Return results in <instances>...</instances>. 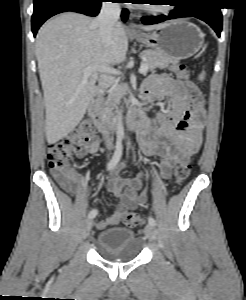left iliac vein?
<instances>
[{
	"mask_svg": "<svg viewBox=\"0 0 246 300\" xmlns=\"http://www.w3.org/2000/svg\"><path fill=\"white\" fill-rule=\"evenodd\" d=\"M144 233L145 236L149 239V240H155L156 238V230L155 227L151 224H147L145 229H144Z\"/></svg>",
	"mask_w": 246,
	"mask_h": 300,
	"instance_id": "left-iliac-vein-1",
	"label": "left iliac vein"
}]
</instances>
